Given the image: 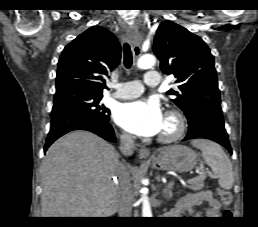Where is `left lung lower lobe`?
<instances>
[{
    "mask_svg": "<svg viewBox=\"0 0 258 227\" xmlns=\"http://www.w3.org/2000/svg\"><path fill=\"white\" fill-rule=\"evenodd\" d=\"M188 134L183 140L205 138L224 146L231 154V146L224 127L223 114L220 110L207 109L202 111L194 121L188 122Z\"/></svg>",
    "mask_w": 258,
    "mask_h": 227,
    "instance_id": "obj_1",
    "label": "left lung lower lobe"
}]
</instances>
